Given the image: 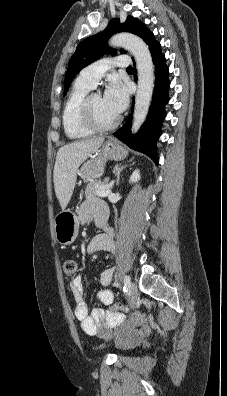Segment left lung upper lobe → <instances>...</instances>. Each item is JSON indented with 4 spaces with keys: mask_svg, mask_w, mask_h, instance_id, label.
<instances>
[{
    "mask_svg": "<svg viewBox=\"0 0 227 396\" xmlns=\"http://www.w3.org/2000/svg\"><path fill=\"white\" fill-rule=\"evenodd\" d=\"M118 32L133 33L140 36L146 43L154 38L153 33L146 29L143 23L132 16H128L123 24L119 23V19H112L103 32L86 38L77 46L66 72L63 95L67 93L74 76L82 68L109 52L107 49V40ZM122 52L125 53L124 50ZM112 53H115V51H112Z\"/></svg>",
    "mask_w": 227,
    "mask_h": 396,
    "instance_id": "5c2ea615",
    "label": "left lung upper lobe"
}]
</instances>
